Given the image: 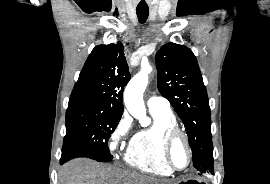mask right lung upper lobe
Wrapping results in <instances>:
<instances>
[{"mask_svg":"<svg viewBox=\"0 0 270 184\" xmlns=\"http://www.w3.org/2000/svg\"><path fill=\"white\" fill-rule=\"evenodd\" d=\"M130 80L123 45H98L89 55L69 102L82 101L122 116L123 91Z\"/></svg>","mask_w":270,"mask_h":184,"instance_id":"right-lung-upper-lobe-1","label":"right lung upper lobe"}]
</instances>
